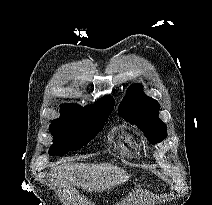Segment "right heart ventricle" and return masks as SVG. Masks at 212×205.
<instances>
[{
  "label": "right heart ventricle",
  "mask_w": 212,
  "mask_h": 205,
  "mask_svg": "<svg viewBox=\"0 0 212 205\" xmlns=\"http://www.w3.org/2000/svg\"><path fill=\"white\" fill-rule=\"evenodd\" d=\"M118 138L123 144L127 146H130V147L135 146V140H134L133 134L125 129H121L119 131Z\"/></svg>",
  "instance_id": "e07e8e85"
}]
</instances>
